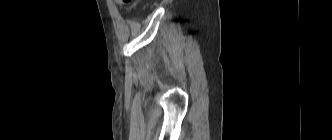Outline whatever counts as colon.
Listing matches in <instances>:
<instances>
[{
	"label": "colon",
	"mask_w": 332,
	"mask_h": 140,
	"mask_svg": "<svg viewBox=\"0 0 332 140\" xmlns=\"http://www.w3.org/2000/svg\"><path fill=\"white\" fill-rule=\"evenodd\" d=\"M140 0H116L120 5L137 4Z\"/></svg>",
	"instance_id": "5ec220e1"
}]
</instances>
